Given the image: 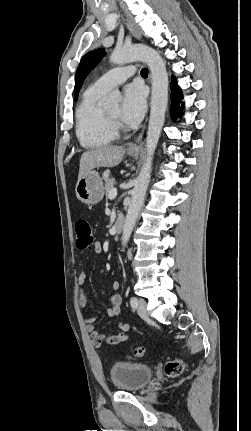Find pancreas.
Returning a JSON list of instances; mask_svg holds the SVG:
<instances>
[{
  "instance_id": "cf45deb5",
  "label": "pancreas",
  "mask_w": 251,
  "mask_h": 431,
  "mask_svg": "<svg viewBox=\"0 0 251 431\" xmlns=\"http://www.w3.org/2000/svg\"><path fill=\"white\" fill-rule=\"evenodd\" d=\"M105 181V193L109 195L110 191L113 189L115 180L113 178H109V173L106 172L103 177Z\"/></svg>"
}]
</instances>
